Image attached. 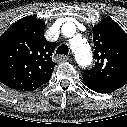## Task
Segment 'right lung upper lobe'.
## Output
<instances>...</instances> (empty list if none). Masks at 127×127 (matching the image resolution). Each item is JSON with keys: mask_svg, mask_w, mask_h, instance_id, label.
I'll list each match as a JSON object with an SVG mask.
<instances>
[{"mask_svg": "<svg viewBox=\"0 0 127 127\" xmlns=\"http://www.w3.org/2000/svg\"><path fill=\"white\" fill-rule=\"evenodd\" d=\"M45 23L33 16L15 22L0 36V82L24 91H33L48 82L55 62L56 43L44 38Z\"/></svg>", "mask_w": 127, "mask_h": 127, "instance_id": "cb5924a9", "label": "right lung upper lobe"}]
</instances>
